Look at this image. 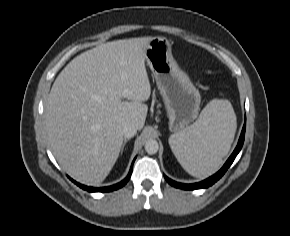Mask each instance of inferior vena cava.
<instances>
[{
    "label": "inferior vena cava",
    "instance_id": "1",
    "mask_svg": "<svg viewBox=\"0 0 290 236\" xmlns=\"http://www.w3.org/2000/svg\"><path fill=\"white\" fill-rule=\"evenodd\" d=\"M121 134L125 137V138H132L136 132H137V129L134 125L132 124H124L121 129Z\"/></svg>",
    "mask_w": 290,
    "mask_h": 236
}]
</instances>
